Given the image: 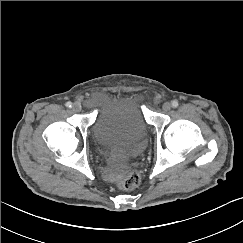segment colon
<instances>
[{
    "mask_svg": "<svg viewBox=\"0 0 243 243\" xmlns=\"http://www.w3.org/2000/svg\"><path fill=\"white\" fill-rule=\"evenodd\" d=\"M141 180L140 173L136 170L130 171L126 177L119 183V188L125 191L135 189Z\"/></svg>",
    "mask_w": 243,
    "mask_h": 243,
    "instance_id": "obj_1",
    "label": "colon"
}]
</instances>
